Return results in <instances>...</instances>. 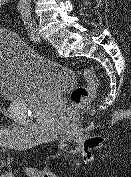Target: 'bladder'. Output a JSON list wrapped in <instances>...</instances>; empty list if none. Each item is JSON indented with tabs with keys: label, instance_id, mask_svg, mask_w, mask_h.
I'll return each instance as SVG.
<instances>
[{
	"label": "bladder",
	"instance_id": "bladder-1",
	"mask_svg": "<svg viewBox=\"0 0 131 177\" xmlns=\"http://www.w3.org/2000/svg\"><path fill=\"white\" fill-rule=\"evenodd\" d=\"M74 72L29 49L12 31H0V99L27 103L74 86Z\"/></svg>",
	"mask_w": 131,
	"mask_h": 177
}]
</instances>
